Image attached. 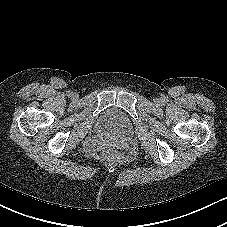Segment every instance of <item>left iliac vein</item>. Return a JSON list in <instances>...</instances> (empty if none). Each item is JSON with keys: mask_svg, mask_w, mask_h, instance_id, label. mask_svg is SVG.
Segmentation results:
<instances>
[{"mask_svg": "<svg viewBox=\"0 0 227 227\" xmlns=\"http://www.w3.org/2000/svg\"><path fill=\"white\" fill-rule=\"evenodd\" d=\"M155 103H156V104H160V100L156 99V100H155Z\"/></svg>", "mask_w": 227, "mask_h": 227, "instance_id": "obj_1", "label": "left iliac vein"}]
</instances>
